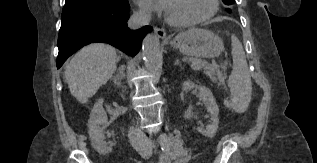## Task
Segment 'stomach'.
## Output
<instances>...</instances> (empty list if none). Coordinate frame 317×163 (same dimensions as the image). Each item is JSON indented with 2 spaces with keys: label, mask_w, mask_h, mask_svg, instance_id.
Returning <instances> with one entry per match:
<instances>
[{
  "label": "stomach",
  "mask_w": 317,
  "mask_h": 163,
  "mask_svg": "<svg viewBox=\"0 0 317 163\" xmlns=\"http://www.w3.org/2000/svg\"><path fill=\"white\" fill-rule=\"evenodd\" d=\"M171 45L181 53L197 58H213L224 49L223 41L217 34L200 28L179 33Z\"/></svg>",
  "instance_id": "obj_1"
}]
</instances>
